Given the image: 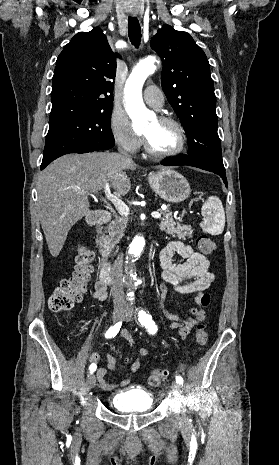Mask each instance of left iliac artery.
<instances>
[{"mask_svg": "<svg viewBox=\"0 0 279 465\" xmlns=\"http://www.w3.org/2000/svg\"><path fill=\"white\" fill-rule=\"evenodd\" d=\"M138 320L141 323V325L145 326V328L148 330L150 334H155L157 332V326L155 325L152 316L149 315L146 311H138ZM176 382L182 385L183 378L181 376H176Z\"/></svg>", "mask_w": 279, "mask_h": 465, "instance_id": "1", "label": "left iliac artery"}]
</instances>
